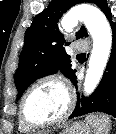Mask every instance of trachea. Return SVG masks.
<instances>
[{
	"mask_svg": "<svg viewBox=\"0 0 116 134\" xmlns=\"http://www.w3.org/2000/svg\"><path fill=\"white\" fill-rule=\"evenodd\" d=\"M78 56L80 57V56H85V53H82V54H78Z\"/></svg>",
	"mask_w": 116,
	"mask_h": 134,
	"instance_id": "1",
	"label": "trachea"
}]
</instances>
